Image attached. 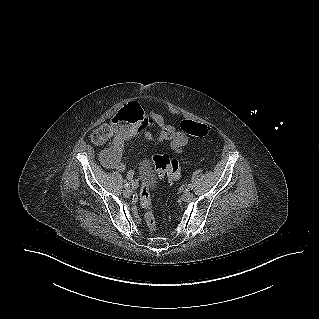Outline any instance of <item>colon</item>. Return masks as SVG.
<instances>
[{
  "label": "colon",
  "instance_id": "obj_1",
  "mask_svg": "<svg viewBox=\"0 0 319 319\" xmlns=\"http://www.w3.org/2000/svg\"><path fill=\"white\" fill-rule=\"evenodd\" d=\"M182 133L188 135H183ZM155 136L158 143L162 146L186 150L192 146L194 137L208 139L211 136V129L204 122L179 119L176 124L165 122L159 125ZM151 162L160 177L167 178L170 182H176L181 178L182 170L177 159L165 154H156L152 157ZM140 205L145 210V221L148 228L154 231L156 222L151 208L149 186L145 180L142 181L140 189Z\"/></svg>",
  "mask_w": 319,
  "mask_h": 319
}]
</instances>
